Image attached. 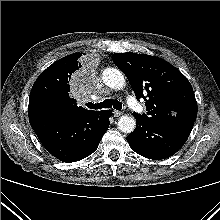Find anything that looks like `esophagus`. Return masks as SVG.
<instances>
[{
    "label": "esophagus",
    "instance_id": "esophagus-1",
    "mask_svg": "<svg viewBox=\"0 0 220 220\" xmlns=\"http://www.w3.org/2000/svg\"><path fill=\"white\" fill-rule=\"evenodd\" d=\"M113 115H114V117H119V116L122 115V112H121V111H118V110H114V111H113Z\"/></svg>",
    "mask_w": 220,
    "mask_h": 220
}]
</instances>
